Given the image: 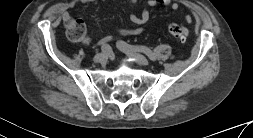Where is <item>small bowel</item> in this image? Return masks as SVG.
I'll use <instances>...</instances> for the list:
<instances>
[{
    "label": "small bowel",
    "mask_w": 253,
    "mask_h": 138,
    "mask_svg": "<svg viewBox=\"0 0 253 138\" xmlns=\"http://www.w3.org/2000/svg\"><path fill=\"white\" fill-rule=\"evenodd\" d=\"M78 1L82 3H88V2H93L95 0H78ZM99 1L104 2L106 0H99ZM130 1L133 4H137L139 3L140 0H130ZM146 3L150 7L170 6L171 9L174 11H178L180 9V4L172 0H146ZM74 6H75L74 2H70L67 5L66 11L63 13L64 21L71 18V11L74 8ZM149 18H150V13L148 9L145 7H142L139 15L134 14V13H131L129 15L130 21L135 25L134 27L117 28L116 32L124 36L141 35L146 30L144 25L148 22ZM184 21L190 23L192 22V18L190 16H186L184 17ZM111 40H112V36L107 35L99 40V44L102 46L104 44H108Z\"/></svg>",
    "instance_id": "c3829d8e"
}]
</instances>
